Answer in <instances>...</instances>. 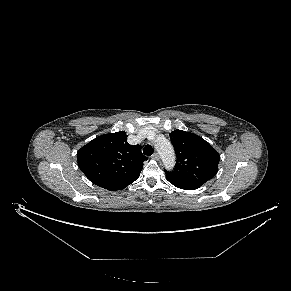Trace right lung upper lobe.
Here are the masks:
<instances>
[{"label":"right lung upper lobe","instance_id":"cb5924a9","mask_svg":"<svg viewBox=\"0 0 291 291\" xmlns=\"http://www.w3.org/2000/svg\"><path fill=\"white\" fill-rule=\"evenodd\" d=\"M79 168L94 184L109 191L122 190L139 178L147 160L139 145L127 142L126 132L96 137L77 152Z\"/></svg>","mask_w":291,"mask_h":291}]
</instances>
